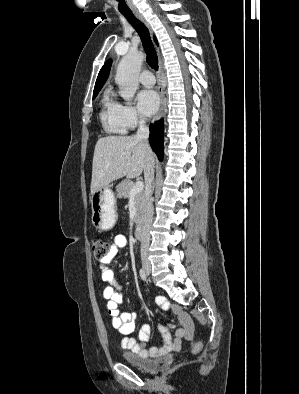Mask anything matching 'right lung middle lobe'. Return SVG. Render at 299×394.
I'll return each instance as SVG.
<instances>
[{
  "instance_id": "right-lung-middle-lobe-1",
  "label": "right lung middle lobe",
  "mask_w": 299,
  "mask_h": 394,
  "mask_svg": "<svg viewBox=\"0 0 299 394\" xmlns=\"http://www.w3.org/2000/svg\"><path fill=\"white\" fill-rule=\"evenodd\" d=\"M97 96V94H93V99Z\"/></svg>"
}]
</instances>
